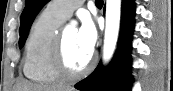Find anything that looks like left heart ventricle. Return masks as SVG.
<instances>
[{
	"instance_id": "b2bd125f",
	"label": "left heart ventricle",
	"mask_w": 173,
	"mask_h": 91,
	"mask_svg": "<svg viewBox=\"0 0 173 91\" xmlns=\"http://www.w3.org/2000/svg\"><path fill=\"white\" fill-rule=\"evenodd\" d=\"M65 56L70 68L81 70L88 63L91 54L82 49L77 39V30L69 27L64 31Z\"/></svg>"
}]
</instances>
